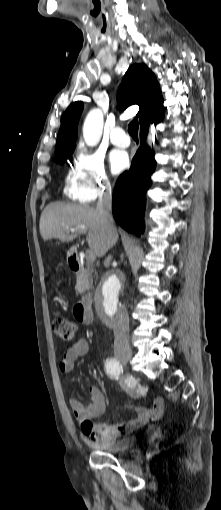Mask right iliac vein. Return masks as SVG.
Masks as SVG:
<instances>
[{
  "label": "right iliac vein",
  "mask_w": 221,
  "mask_h": 510,
  "mask_svg": "<svg viewBox=\"0 0 221 510\" xmlns=\"http://www.w3.org/2000/svg\"><path fill=\"white\" fill-rule=\"evenodd\" d=\"M116 357L119 362H121L122 364H126L131 360L132 353L131 352L119 353Z\"/></svg>",
  "instance_id": "1"
}]
</instances>
